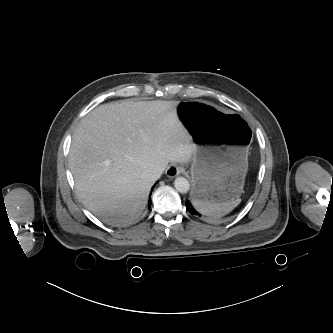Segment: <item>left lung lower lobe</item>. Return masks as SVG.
I'll list each match as a JSON object with an SVG mask.
<instances>
[{"mask_svg": "<svg viewBox=\"0 0 333 333\" xmlns=\"http://www.w3.org/2000/svg\"><path fill=\"white\" fill-rule=\"evenodd\" d=\"M186 208L188 209V211L191 213V214H195V215H198L200 216V214L198 212L195 211V209L192 207L191 203L189 201L186 202Z\"/></svg>", "mask_w": 333, "mask_h": 333, "instance_id": "1", "label": "left lung lower lobe"}]
</instances>
